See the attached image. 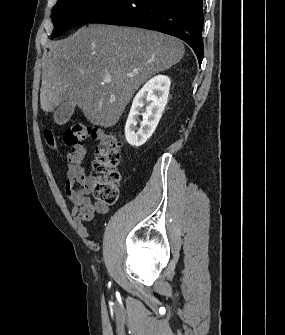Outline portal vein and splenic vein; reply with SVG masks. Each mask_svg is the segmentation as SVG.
I'll use <instances>...</instances> for the list:
<instances>
[{
	"label": "portal vein and splenic vein",
	"instance_id": "obj_1",
	"mask_svg": "<svg viewBox=\"0 0 285 335\" xmlns=\"http://www.w3.org/2000/svg\"><path fill=\"white\" fill-rule=\"evenodd\" d=\"M129 78H133V76H129ZM103 82H111V76H105Z\"/></svg>",
	"mask_w": 285,
	"mask_h": 335
}]
</instances>
